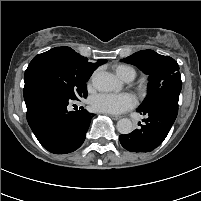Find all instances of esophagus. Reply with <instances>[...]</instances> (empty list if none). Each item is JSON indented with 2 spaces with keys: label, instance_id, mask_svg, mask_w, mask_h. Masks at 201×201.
Here are the masks:
<instances>
[{
  "label": "esophagus",
  "instance_id": "1",
  "mask_svg": "<svg viewBox=\"0 0 201 201\" xmlns=\"http://www.w3.org/2000/svg\"><path fill=\"white\" fill-rule=\"evenodd\" d=\"M109 117H111L113 120H118L121 117L120 116H115V115H108Z\"/></svg>",
  "mask_w": 201,
  "mask_h": 201
}]
</instances>
